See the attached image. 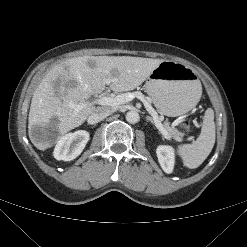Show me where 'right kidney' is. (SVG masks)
I'll list each match as a JSON object with an SVG mask.
<instances>
[{
	"label": "right kidney",
	"instance_id": "obj_1",
	"mask_svg": "<svg viewBox=\"0 0 247 247\" xmlns=\"http://www.w3.org/2000/svg\"><path fill=\"white\" fill-rule=\"evenodd\" d=\"M89 140V133L78 130L62 136L54 148V158L57 160L71 161L81 154Z\"/></svg>",
	"mask_w": 247,
	"mask_h": 247
}]
</instances>
